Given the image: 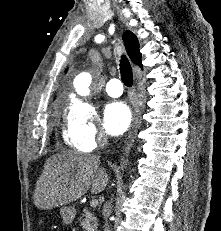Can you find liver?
I'll return each mask as SVG.
<instances>
[{
  "instance_id": "6515ba94",
  "label": "liver",
  "mask_w": 221,
  "mask_h": 231,
  "mask_svg": "<svg viewBox=\"0 0 221 231\" xmlns=\"http://www.w3.org/2000/svg\"><path fill=\"white\" fill-rule=\"evenodd\" d=\"M109 178L100 167V158L92 154L64 151L49 158L36 184L34 204L40 210L70 204L91 189L102 192Z\"/></svg>"
}]
</instances>
